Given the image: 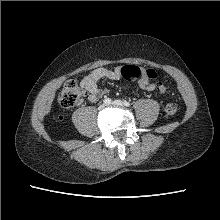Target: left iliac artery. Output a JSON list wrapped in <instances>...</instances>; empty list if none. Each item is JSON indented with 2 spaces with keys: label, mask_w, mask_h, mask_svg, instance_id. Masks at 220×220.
I'll list each match as a JSON object with an SVG mask.
<instances>
[{
  "label": "left iliac artery",
  "mask_w": 220,
  "mask_h": 220,
  "mask_svg": "<svg viewBox=\"0 0 220 220\" xmlns=\"http://www.w3.org/2000/svg\"><path fill=\"white\" fill-rule=\"evenodd\" d=\"M124 105L128 107V106H130V103L127 101H124Z\"/></svg>",
  "instance_id": "1"
}]
</instances>
